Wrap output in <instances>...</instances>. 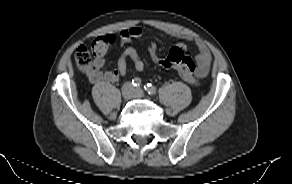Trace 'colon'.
Returning a JSON list of instances; mask_svg holds the SVG:
<instances>
[{"instance_id":"obj_1","label":"colon","mask_w":292,"mask_h":184,"mask_svg":"<svg viewBox=\"0 0 292 184\" xmlns=\"http://www.w3.org/2000/svg\"><path fill=\"white\" fill-rule=\"evenodd\" d=\"M114 35H105L95 38L90 48L80 45L75 52L76 64L82 71H89L93 67V58L103 56L114 43ZM148 51L152 59L165 68H173L187 82L196 85L198 78L194 61L185 55L184 50L177 46L171 48L169 52L162 56L159 52L157 40L151 38L148 42Z\"/></svg>"}]
</instances>
